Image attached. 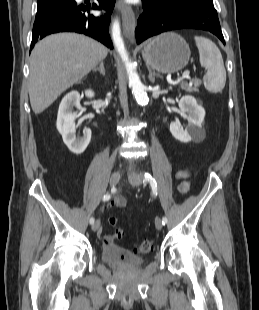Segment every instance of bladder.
I'll return each instance as SVG.
<instances>
[{"label":"bladder","mask_w":259,"mask_h":310,"mask_svg":"<svg viewBox=\"0 0 259 310\" xmlns=\"http://www.w3.org/2000/svg\"><path fill=\"white\" fill-rule=\"evenodd\" d=\"M100 258L104 263L120 269L136 268L144 262L142 257L118 245H104Z\"/></svg>","instance_id":"obj_1"}]
</instances>
